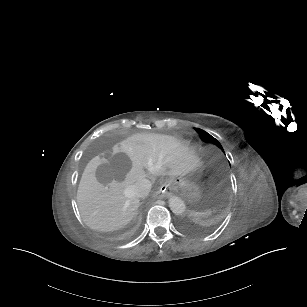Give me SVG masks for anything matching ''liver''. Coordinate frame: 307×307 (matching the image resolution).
I'll list each match as a JSON object with an SVG mask.
<instances>
[{
	"label": "liver",
	"mask_w": 307,
	"mask_h": 307,
	"mask_svg": "<svg viewBox=\"0 0 307 307\" xmlns=\"http://www.w3.org/2000/svg\"><path fill=\"white\" fill-rule=\"evenodd\" d=\"M200 165L194 152L174 136L133 134L88 162L77 190L81 217L91 229L118 230L139 207L132 189L138 180L186 175Z\"/></svg>",
	"instance_id": "6515ba94"
}]
</instances>
